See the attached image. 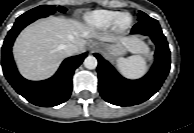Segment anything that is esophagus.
Returning <instances> with one entry per match:
<instances>
[{
	"label": "esophagus",
	"instance_id": "esophagus-1",
	"mask_svg": "<svg viewBox=\"0 0 194 133\" xmlns=\"http://www.w3.org/2000/svg\"><path fill=\"white\" fill-rule=\"evenodd\" d=\"M92 49H97L98 48V45L97 43H92V46H91Z\"/></svg>",
	"mask_w": 194,
	"mask_h": 133
}]
</instances>
